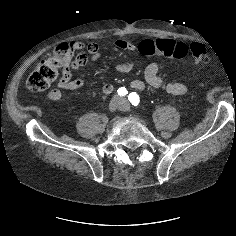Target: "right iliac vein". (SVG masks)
<instances>
[{"mask_svg":"<svg viewBox=\"0 0 236 236\" xmlns=\"http://www.w3.org/2000/svg\"><path fill=\"white\" fill-rule=\"evenodd\" d=\"M120 107H121V102L118 98H114L109 104V110L112 112Z\"/></svg>","mask_w":236,"mask_h":236,"instance_id":"right-iliac-vein-1","label":"right iliac vein"}]
</instances>
